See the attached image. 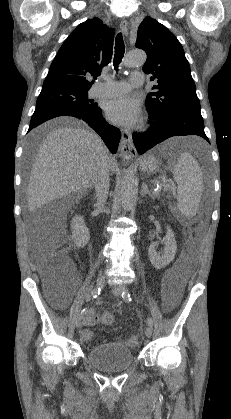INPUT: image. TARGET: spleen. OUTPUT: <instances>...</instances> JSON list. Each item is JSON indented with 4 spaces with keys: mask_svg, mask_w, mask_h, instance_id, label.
<instances>
[{
    "mask_svg": "<svg viewBox=\"0 0 231 419\" xmlns=\"http://www.w3.org/2000/svg\"><path fill=\"white\" fill-rule=\"evenodd\" d=\"M173 174L177 183L178 208L182 215L191 218L198 210L203 191L201 168L190 153L181 152Z\"/></svg>",
    "mask_w": 231,
    "mask_h": 419,
    "instance_id": "1",
    "label": "spleen"
}]
</instances>
